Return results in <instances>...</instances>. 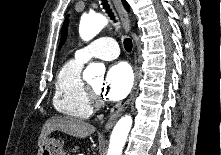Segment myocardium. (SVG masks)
Listing matches in <instances>:
<instances>
[{
	"mask_svg": "<svg viewBox=\"0 0 221 155\" xmlns=\"http://www.w3.org/2000/svg\"><path fill=\"white\" fill-rule=\"evenodd\" d=\"M87 97L92 108H100L103 105V101L100 94L97 93L89 84L85 83Z\"/></svg>",
	"mask_w": 221,
	"mask_h": 155,
	"instance_id": "f54148a6",
	"label": "myocardium"
}]
</instances>
